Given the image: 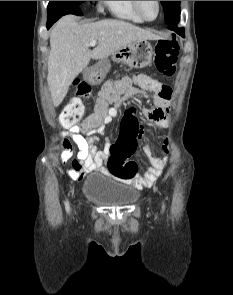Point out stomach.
Returning a JSON list of instances; mask_svg holds the SVG:
<instances>
[{
	"instance_id": "obj_1",
	"label": "stomach",
	"mask_w": 233,
	"mask_h": 295,
	"mask_svg": "<svg viewBox=\"0 0 233 295\" xmlns=\"http://www.w3.org/2000/svg\"><path fill=\"white\" fill-rule=\"evenodd\" d=\"M153 57V47L147 39L133 41L119 49L112 55L115 62H121L133 68H144L148 66ZM110 64L101 61L87 70L86 79L93 84H99L104 79Z\"/></svg>"
}]
</instances>
